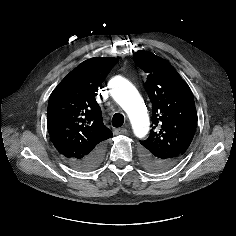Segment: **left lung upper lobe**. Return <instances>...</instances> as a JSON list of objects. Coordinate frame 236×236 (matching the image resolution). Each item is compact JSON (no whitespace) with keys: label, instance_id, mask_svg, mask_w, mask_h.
<instances>
[{"label":"left lung upper lobe","instance_id":"left-lung-upper-lobe-1","mask_svg":"<svg viewBox=\"0 0 236 236\" xmlns=\"http://www.w3.org/2000/svg\"><path fill=\"white\" fill-rule=\"evenodd\" d=\"M133 59L148 74L146 89L152 103V129L149 137L140 141L141 160L145 168L159 172L164 159H180L188 149L197 125L195 102L168 61L143 50L134 53Z\"/></svg>","mask_w":236,"mask_h":236}]
</instances>
